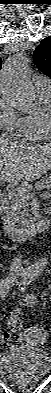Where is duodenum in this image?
<instances>
[{"label":"duodenum","mask_w":51,"mask_h":393,"mask_svg":"<svg viewBox=\"0 0 51 393\" xmlns=\"http://www.w3.org/2000/svg\"><path fill=\"white\" fill-rule=\"evenodd\" d=\"M7 203V197L5 193H0V218L3 231L5 234L16 240L29 238L38 232H42L48 228L49 218L45 216L43 219L38 220L32 224L26 226H17L11 220H9L5 205Z\"/></svg>","instance_id":"duodenum-1"}]
</instances>
